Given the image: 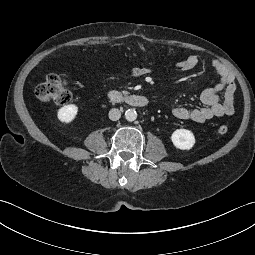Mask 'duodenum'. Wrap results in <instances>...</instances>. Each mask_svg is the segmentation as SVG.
<instances>
[{
	"instance_id": "obj_1",
	"label": "duodenum",
	"mask_w": 255,
	"mask_h": 255,
	"mask_svg": "<svg viewBox=\"0 0 255 255\" xmlns=\"http://www.w3.org/2000/svg\"><path fill=\"white\" fill-rule=\"evenodd\" d=\"M108 99L113 103L126 104L132 107L143 108L148 105L146 97L134 94H124L119 90H109L107 92Z\"/></svg>"
}]
</instances>
